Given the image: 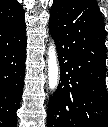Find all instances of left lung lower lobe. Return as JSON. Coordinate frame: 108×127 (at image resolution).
I'll use <instances>...</instances> for the list:
<instances>
[{"mask_svg":"<svg viewBox=\"0 0 108 127\" xmlns=\"http://www.w3.org/2000/svg\"><path fill=\"white\" fill-rule=\"evenodd\" d=\"M60 81L49 100L48 127H108L106 31L96 0H54L49 22ZM77 65L73 86L67 68Z\"/></svg>","mask_w":108,"mask_h":127,"instance_id":"obj_1","label":"left lung lower lobe"}]
</instances>
